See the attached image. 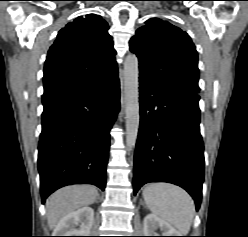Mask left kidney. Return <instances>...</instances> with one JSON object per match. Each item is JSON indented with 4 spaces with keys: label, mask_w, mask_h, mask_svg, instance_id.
<instances>
[{
    "label": "left kidney",
    "mask_w": 248,
    "mask_h": 237,
    "mask_svg": "<svg viewBox=\"0 0 248 237\" xmlns=\"http://www.w3.org/2000/svg\"><path fill=\"white\" fill-rule=\"evenodd\" d=\"M160 229L162 235L157 234L156 230ZM144 236H181L168 222L162 220L154 214H148L143 221Z\"/></svg>",
    "instance_id": "obj_1"
}]
</instances>
